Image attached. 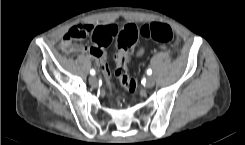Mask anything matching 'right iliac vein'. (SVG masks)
Returning <instances> with one entry per match:
<instances>
[{"label":"right iliac vein","mask_w":245,"mask_h":145,"mask_svg":"<svg viewBox=\"0 0 245 145\" xmlns=\"http://www.w3.org/2000/svg\"><path fill=\"white\" fill-rule=\"evenodd\" d=\"M89 83H90L91 85H93V86H97L98 80H97V78H96L95 76H91V77L89 78Z\"/></svg>","instance_id":"right-iliac-vein-1"}]
</instances>
